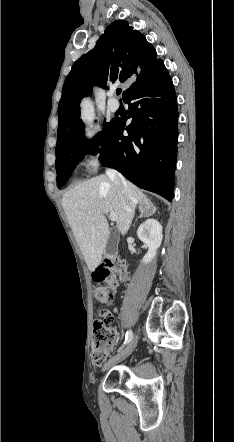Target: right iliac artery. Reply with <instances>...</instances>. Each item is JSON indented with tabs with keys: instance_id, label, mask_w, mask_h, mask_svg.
<instances>
[{
	"instance_id": "right-iliac-artery-1",
	"label": "right iliac artery",
	"mask_w": 234,
	"mask_h": 442,
	"mask_svg": "<svg viewBox=\"0 0 234 442\" xmlns=\"http://www.w3.org/2000/svg\"><path fill=\"white\" fill-rule=\"evenodd\" d=\"M133 338V332L131 330H128L125 337V343H129Z\"/></svg>"
}]
</instances>
